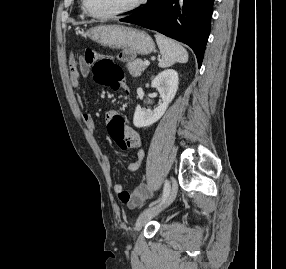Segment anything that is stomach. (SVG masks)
Returning a JSON list of instances; mask_svg holds the SVG:
<instances>
[{
    "mask_svg": "<svg viewBox=\"0 0 286 269\" xmlns=\"http://www.w3.org/2000/svg\"><path fill=\"white\" fill-rule=\"evenodd\" d=\"M86 35L102 46L112 49H135V54L148 55L155 49L152 38L144 31L121 25H100Z\"/></svg>",
    "mask_w": 286,
    "mask_h": 269,
    "instance_id": "obj_1",
    "label": "stomach"
}]
</instances>
